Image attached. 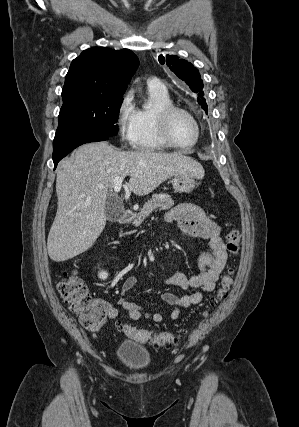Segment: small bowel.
Here are the masks:
<instances>
[{"mask_svg": "<svg viewBox=\"0 0 299 427\" xmlns=\"http://www.w3.org/2000/svg\"><path fill=\"white\" fill-rule=\"evenodd\" d=\"M164 220L167 224L176 221L184 232L208 239L210 248L198 256L200 268L198 274L188 277L185 274L176 273L168 277V282L174 286L182 289H196V291L184 295H176L171 292L162 293V299L172 306L168 315L144 312L134 301L129 300L127 293L136 285L137 278L128 277L121 287L119 304L132 320L143 318H149L155 322L177 320L182 308L200 304L204 295L215 289L226 264L227 252L221 236L222 227L207 216L199 206L192 203H181L168 211ZM100 304L108 318L115 319L118 316V310L109 302L101 300Z\"/></svg>", "mask_w": 299, "mask_h": 427, "instance_id": "c3829d8e", "label": "small bowel"}]
</instances>
